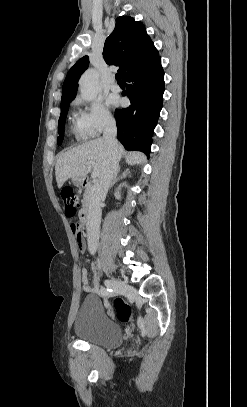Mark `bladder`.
Instances as JSON below:
<instances>
[{"label": "bladder", "mask_w": 247, "mask_h": 407, "mask_svg": "<svg viewBox=\"0 0 247 407\" xmlns=\"http://www.w3.org/2000/svg\"><path fill=\"white\" fill-rule=\"evenodd\" d=\"M74 332L82 341L110 349L123 342L122 327L107 315L103 303L96 296L84 298L77 312Z\"/></svg>", "instance_id": "1"}]
</instances>
